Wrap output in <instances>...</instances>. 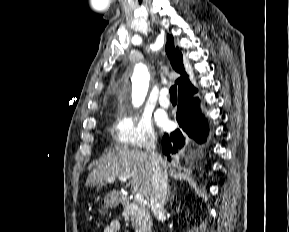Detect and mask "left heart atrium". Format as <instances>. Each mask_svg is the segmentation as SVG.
<instances>
[{
	"instance_id": "1",
	"label": "left heart atrium",
	"mask_w": 289,
	"mask_h": 232,
	"mask_svg": "<svg viewBox=\"0 0 289 232\" xmlns=\"http://www.w3.org/2000/svg\"><path fill=\"white\" fill-rule=\"evenodd\" d=\"M157 122L160 126L165 127L168 125V120L164 115H160L157 117Z\"/></svg>"
}]
</instances>
